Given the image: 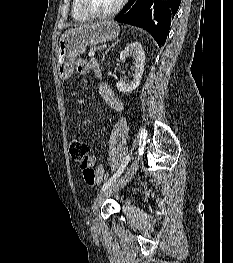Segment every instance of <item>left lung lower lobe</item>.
<instances>
[{
    "mask_svg": "<svg viewBox=\"0 0 233 263\" xmlns=\"http://www.w3.org/2000/svg\"><path fill=\"white\" fill-rule=\"evenodd\" d=\"M181 0H130L116 21L150 32L159 47L163 46Z\"/></svg>",
    "mask_w": 233,
    "mask_h": 263,
    "instance_id": "1",
    "label": "left lung lower lobe"
}]
</instances>
